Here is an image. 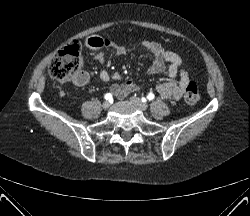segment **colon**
Instances as JSON below:
<instances>
[{"label": "colon", "instance_id": "5ec220e1", "mask_svg": "<svg viewBox=\"0 0 250 216\" xmlns=\"http://www.w3.org/2000/svg\"><path fill=\"white\" fill-rule=\"evenodd\" d=\"M82 64L79 45H69L59 50L54 56L49 65V74L56 81L66 82L81 69ZM199 98L200 94L197 84L190 81L184 93V100L188 104H194Z\"/></svg>", "mask_w": 250, "mask_h": 216}]
</instances>
